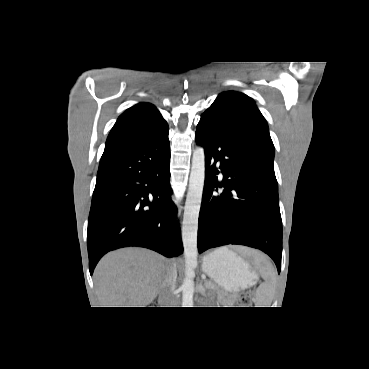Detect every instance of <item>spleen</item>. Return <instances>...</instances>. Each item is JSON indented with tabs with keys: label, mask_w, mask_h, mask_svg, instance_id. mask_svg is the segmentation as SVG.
<instances>
[{
	"label": "spleen",
	"mask_w": 369,
	"mask_h": 369,
	"mask_svg": "<svg viewBox=\"0 0 369 369\" xmlns=\"http://www.w3.org/2000/svg\"><path fill=\"white\" fill-rule=\"evenodd\" d=\"M257 267L260 269L265 283L261 284L256 292V304L262 305L259 307H268L271 304L274 290V282L276 273L273 266L267 261V258L256 252L253 256Z\"/></svg>",
	"instance_id": "obj_1"
}]
</instances>
